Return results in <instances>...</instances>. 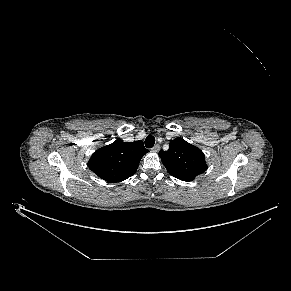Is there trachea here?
Wrapping results in <instances>:
<instances>
[{"instance_id":"1","label":"trachea","mask_w":291,"mask_h":291,"mask_svg":"<svg viewBox=\"0 0 291 291\" xmlns=\"http://www.w3.org/2000/svg\"><path fill=\"white\" fill-rule=\"evenodd\" d=\"M155 144V138L152 135H148L145 139V146L146 148H151Z\"/></svg>"}]
</instances>
